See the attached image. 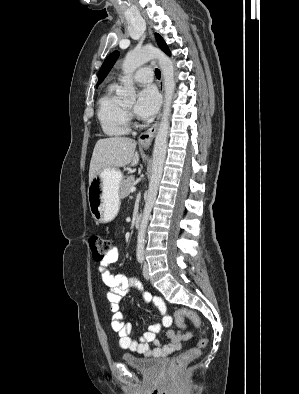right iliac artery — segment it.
I'll return each mask as SVG.
<instances>
[{
	"instance_id": "right-iliac-artery-1",
	"label": "right iliac artery",
	"mask_w": 299,
	"mask_h": 394,
	"mask_svg": "<svg viewBox=\"0 0 299 394\" xmlns=\"http://www.w3.org/2000/svg\"><path fill=\"white\" fill-rule=\"evenodd\" d=\"M143 261H144V257H143V256H141V257H138V262H139L140 264H142V263H143Z\"/></svg>"
}]
</instances>
